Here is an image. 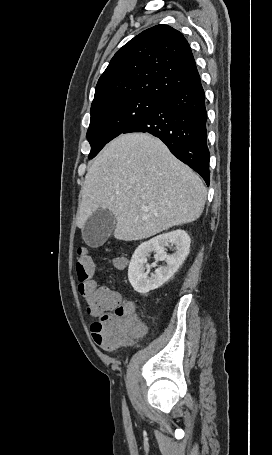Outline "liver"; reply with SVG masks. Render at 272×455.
Returning <instances> with one entry per match:
<instances>
[{
  "mask_svg": "<svg viewBox=\"0 0 272 455\" xmlns=\"http://www.w3.org/2000/svg\"><path fill=\"white\" fill-rule=\"evenodd\" d=\"M81 194L79 228L94 212L107 209L116 218L114 237L133 241L197 220L207 190L158 138L130 133L112 140L94 159Z\"/></svg>",
  "mask_w": 272,
  "mask_h": 455,
  "instance_id": "1",
  "label": "liver"
}]
</instances>
